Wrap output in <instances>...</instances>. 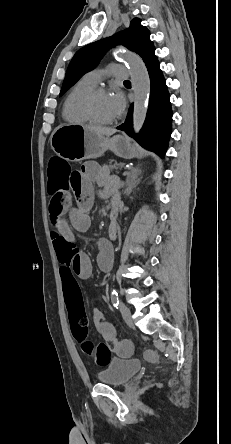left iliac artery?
Listing matches in <instances>:
<instances>
[{"label": "left iliac artery", "mask_w": 231, "mask_h": 444, "mask_svg": "<svg viewBox=\"0 0 231 444\" xmlns=\"http://www.w3.org/2000/svg\"><path fill=\"white\" fill-rule=\"evenodd\" d=\"M111 301L114 307L117 308L118 304H119V298H118V293L115 289H112L111 291Z\"/></svg>", "instance_id": "44dca946"}]
</instances>
